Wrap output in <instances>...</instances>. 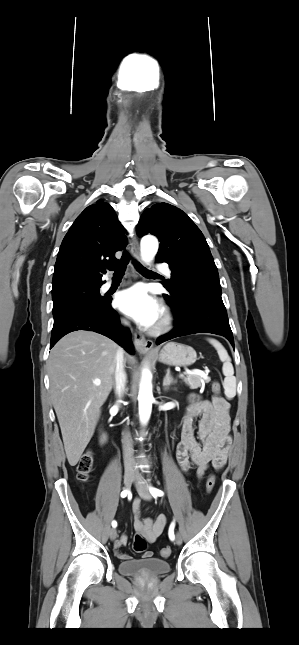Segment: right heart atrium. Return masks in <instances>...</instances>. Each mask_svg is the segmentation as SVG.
Instances as JSON below:
<instances>
[{"instance_id":"obj_1","label":"right heart atrium","mask_w":299,"mask_h":645,"mask_svg":"<svg viewBox=\"0 0 299 645\" xmlns=\"http://www.w3.org/2000/svg\"><path fill=\"white\" fill-rule=\"evenodd\" d=\"M120 322H121V324H123V325H125V324H126V321H125L124 319H121V320H120Z\"/></svg>"}]
</instances>
